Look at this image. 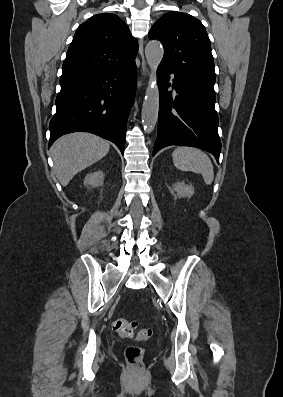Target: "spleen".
I'll return each instance as SVG.
<instances>
[{
  "mask_svg": "<svg viewBox=\"0 0 283 397\" xmlns=\"http://www.w3.org/2000/svg\"><path fill=\"white\" fill-rule=\"evenodd\" d=\"M175 167L182 171L201 173L207 185L214 180V169L210 158L201 150L192 147H178L173 153Z\"/></svg>",
  "mask_w": 283,
  "mask_h": 397,
  "instance_id": "1",
  "label": "spleen"
}]
</instances>
